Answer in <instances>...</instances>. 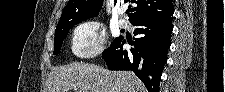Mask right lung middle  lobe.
Wrapping results in <instances>:
<instances>
[{"mask_svg":"<svg viewBox=\"0 0 225 92\" xmlns=\"http://www.w3.org/2000/svg\"><path fill=\"white\" fill-rule=\"evenodd\" d=\"M80 22H82V21H78V22L72 23L70 25L57 26L56 31H55V39H54L55 47H54L53 55H57L60 52L63 40L67 36L69 30L74 25H76Z\"/></svg>","mask_w":225,"mask_h":92,"instance_id":"obj_1","label":"right lung middle lobe"}]
</instances>
